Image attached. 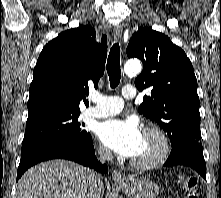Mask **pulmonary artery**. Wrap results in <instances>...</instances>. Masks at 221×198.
I'll return each mask as SVG.
<instances>
[{
  "mask_svg": "<svg viewBox=\"0 0 221 198\" xmlns=\"http://www.w3.org/2000/svg\"><path fill=\"white\" fill-rule=\"evenodd\" d=\"M136 95L133 86L127 85L122 89V96L126 99H132ZM93 106L86 108L83 112L85 117L102 118L119 113L124 105L123 99L118 96H104L99 93L90 95Z\"/></svg>",
  "mask_w": 221,
  "mask_h": 198,
  "instance_id": "1",
  "label": "pulmonary artery"
}]
</instances>
